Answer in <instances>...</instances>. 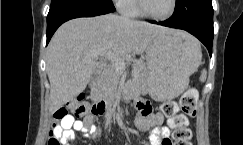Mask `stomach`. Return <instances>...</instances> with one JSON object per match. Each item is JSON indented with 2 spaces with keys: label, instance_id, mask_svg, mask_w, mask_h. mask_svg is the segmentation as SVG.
I'll list each match as a JSON object with an SVG mask.
<instances>
[{
  "label": "stomach",
  "instance_id": "stomach-1",
  "mask_svg": "<svg viewBox=\"0 0 243 145\" xmlns=\"http://www.w3.org/2000/svg\"><path fill=\"white\" fill-rule=\"evenodd\" d=\"M199 52L200 45L192 36L165 33L155 37L146 51L145 80L151 95L159 101H170L182 94L198 67Z\"/></svg>",
  "mask_w": 243,
  "mask_h": 145
}]
</instances>
